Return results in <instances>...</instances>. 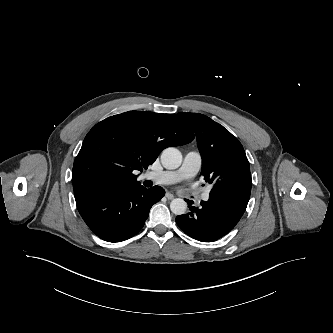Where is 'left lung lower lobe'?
<instances>
[{"instance_id": "0a47b994", "label": "left lung lower lobe", "mask_w": 333, "mask_h": 333, "mask_svg": "<svg viewBox=\"0 0 333 333\" xmlns=\"http://www.w3.org/2000/svg\"><path fill=\"white\" fill-rule=\"evenodd\" d=\"M252 180L250 171L222 179L210 192V199L201 208L185 199L189 211L176 217L177 225L190 237L213 242L229 233L246 210Z\"/></svg>"}]
</instances>
